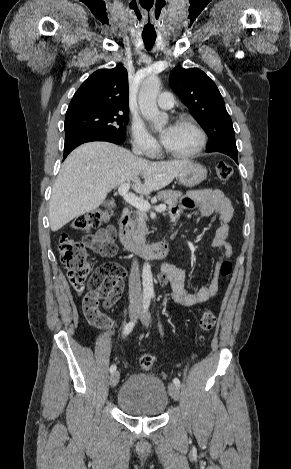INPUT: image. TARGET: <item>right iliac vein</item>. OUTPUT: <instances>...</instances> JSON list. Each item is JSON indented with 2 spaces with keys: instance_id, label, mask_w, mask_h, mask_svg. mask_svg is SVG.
<instances>
[{
  "instance_id": "right-iliac-vein-1",
  "label": "right iliac vein",
  "mask_w": 291,
  "mask_h": 469,
  "mask_svg": "<svg viewBox=\"0 0 291 469\" xmlns=\"http://www.w3.org/2000/svg\"><path fill=\"white\" fill-rule=\"evenodd\" d=\"M139 312H140V307L139 306H137V305L131 306L129 308V318L131 320H134L137 317V315L139 314ZM119 378H120V374H119L118 371H115L111 374V376H110V385H111V387H115L118 384Z\"/></svg>"
}]
</instances>
